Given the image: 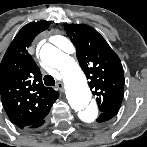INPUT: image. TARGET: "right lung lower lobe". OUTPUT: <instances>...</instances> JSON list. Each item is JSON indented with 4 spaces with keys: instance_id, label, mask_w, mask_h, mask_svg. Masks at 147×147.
<instances>
[{
    "instance_id": "right-lung-lower-lobe-1",
    "label": "right lung lower lobe",
    "mask_w": 147,
    "mask_h": 147,
    "mask_svg": "<svg viewBox=\"0 0 147 147\" xmlns=\"http://www.w3.org/2000/svg\"><path fill=\"white\" fill-rule=\"evenodd\" d=\"M44 122H45V120L43 119V120L33 124L32 126L28 127V128H38V127L42 126L44 124Z\"/></svg>"
}]
</instances>
